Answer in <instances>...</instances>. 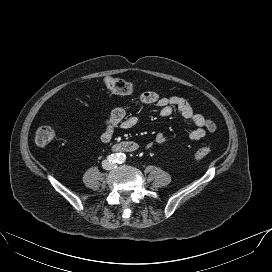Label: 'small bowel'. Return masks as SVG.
Wrapping results in <instances>:
<instances>
[{"label": "small bowel", "mask_w": 272, "mask_h": 272, "mask_svg": "<svg viewBox=\"0 0 272 272\" xmlns=\"http://www.w3.org/2000/svg\"><path fill=\"white\" fill-rule=\"evenodd\" d=\"M137 102L142 105H156L160 108L162 117H169L174 112H178L182 117L190 121L196 128L192 130L188 137L191 140H200L207 133L216 130V125L202 114L195 112L192 106L184 99L178 96H164L153 91L143 92L139 95ZM128 107L118 106L114 108L110 116L105 121V127L101 132V140L109 142L112 140L117 128L130 129L137 123L136 116H127ZM166 136L163 132H158L151 143L145 145V150H150L155 146L165 144Z\"/></svg>", "instance_id": "small-bowel-1"}]
</instances>
